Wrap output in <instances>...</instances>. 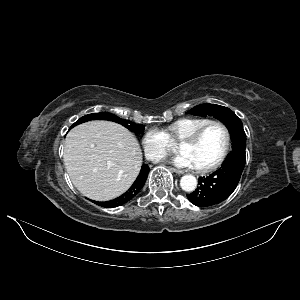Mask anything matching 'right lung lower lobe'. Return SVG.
Segmentation results:
<instances>
[{"label": "right lung lower lobe", "mask_w": 300, "mask_h": 300, "mask_svg": "<svg viewBox=\"0 0 300 300\" xmlns=\"http://www.w3.org/2000/svg\"><path fill=\"white\" fill-rule=\"evenodd\" d=\"M148 173H149L148 165H143L137 179L129 188V190L126 191L124 194L117 197L116 199L107 202H96V201L93 202L99 206L106 207V208H112V207L123 205L124 203L134 198L141 191L147 179Z\"/></svg>", "instance_id": "obj_1"}]
</instances>
